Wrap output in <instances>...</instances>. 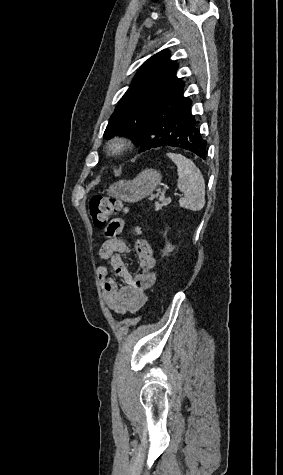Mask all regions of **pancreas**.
Masks as SVG:
<instances>
[{
    "mask_svg": "<svg viewBox=\"0 0 283 475\" xmlns=\"http://www.w3.org/2000/svg\"><path fill=\"white\" fill-rule=\"evenodd\" d=\"M164 194L165 192H161V196H159V202H155V210H161L163 206H168V204H170L171 198H165Z\"/></svg>",
    "mask_w": 283,
    "mask_h": 475,
    "instance_id": "obj_1",
    "label": "pancreas"
}]
</instances>
